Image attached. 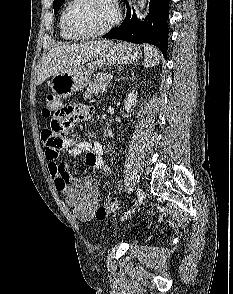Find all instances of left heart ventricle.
Returning a JSON list of instances; mask_svg holds the SVG:
<instances>
[{
	"label": "left heart ventricle",
	"instance_id": "obj_1",
	"mask_svg": "<svg viewBox=\"0 0 233 294\" xmlns=\"http://www.w3.org/2000/svg\"><path fill=\"white\" fill-rule=\"evenodd\" d=\"M113 17V9L105 0H79L72 8L69 21L79 33H92L105 27Z\"/></svg>",
	"mask_w": 233,
	"mask_h": 294
}]
</instances>
